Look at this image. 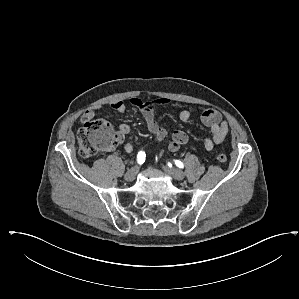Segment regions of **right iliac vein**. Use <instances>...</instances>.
Instances as JSON below:
<instances>
[{
	"label": "right iliac vein",
	"mask_w": 299,
	"mask_h": 299,
	"mask_svg": "<svg viewBox=\"0 0 299 299\" xmlns=\"http://www.w3.org/2000/svg\"><path fill=\"white\" fill-rule=\"evenodd\" d=\"M138 171H139V166H137V165L132 167L131 169H129L124 176L125 180L128 182L134 181V179L136 178V176L138 174Z\"/></svg>",
	"instance_id": "63e3f726"
}]
</instances>
